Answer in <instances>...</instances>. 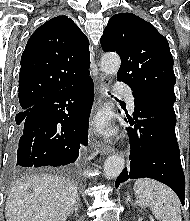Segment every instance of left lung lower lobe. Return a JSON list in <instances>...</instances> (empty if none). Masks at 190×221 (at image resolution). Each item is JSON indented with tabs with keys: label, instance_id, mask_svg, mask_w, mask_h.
I'll return each mask as SVG.
<instances>
[{
	"label": "left lung lower lobe",
	"instance_id": "left-lung-lower-lobe-1",
	"mask_svg": "<svg viewBox=\"0 0 190 221\" xmlns=\"http://www.w3.org/2000/svg\"><path fill=\"white\" fill-rule=\"evenodd\" d=\"M133 97L135 121L129 119L128 122L134 128H127L130 167L124 168L115 186L129 178H152L172 188L184 205L185 177L175 134L174 102L153 96L133 94Z\"/></svg>",
	"mask_w": 190,
	"mask_h": 221
}]
</instances>
